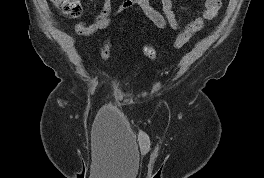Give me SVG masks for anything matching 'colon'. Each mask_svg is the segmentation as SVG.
<instances>
[{
  "instance_id": "obj_1",
  "label": "colon",
  "mask_w": 264,
  "mask_h": 178,
  "mask_svg": "<svg viewBox=\"0 0 264 178\" xmlns=\"http://www.w3.org/2000/svg\"><path fill=\"white\" fill-rule=\"evenodd\" d=\"M51 2L68 17L77 18L82 14V5L79 0H51ZM192 35L193 34L191 32L186 30L179 34L174 41L175 48L180 49L184 47ZM110 53L111 44L110 42L106 41L100 47L101 57L104 60H107L110 56ZM143 54L149 59H156L158 57L157 50L149 45L143 47Z\"/></svg>"
}]
</instances>
